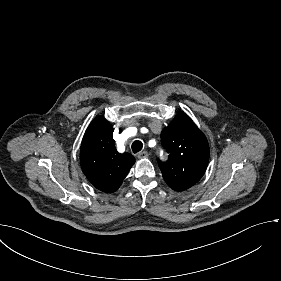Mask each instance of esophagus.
<instances>
[{
    "instance_id": "esophagus-1",
    "label": "esophagus",
    "mask_w": 281,
    "mask_h": 281,
    "mask_svg": "<svg viewBox=\"0 0 281 281\" xmlns=\"http://www.w3.org/2000/svg\"><path fill=\"white\" fill-rule=\"evenodd\" d=\"M137 157L139 159H146L148 157V152L147 151H143V152H140Z\"/></svg>"
}]
</instances>
